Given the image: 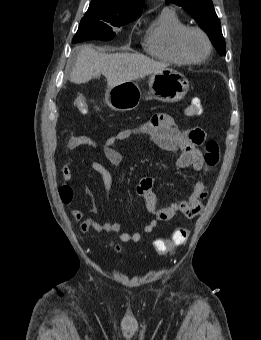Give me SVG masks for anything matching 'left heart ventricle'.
Returning <instances> with one entry per match:
<instances>
[{
    "mask_svg": "<svg viewBox=\"0 0 261 340\" xmlns=\"http://www.w3.org/2000/svg\"><path fill=\"white\" fill-rule=\"evenodd\" d=\"M184 48L187 54L193 59H201L207 52L205 39L197 32H190L184 39Z\"/></svg>",
    "mask_w": 261,
    "mask_h": 340,
    "instance_id": "b2bd125f",
    "label": "left heart ventricle"
}]
</instances>
